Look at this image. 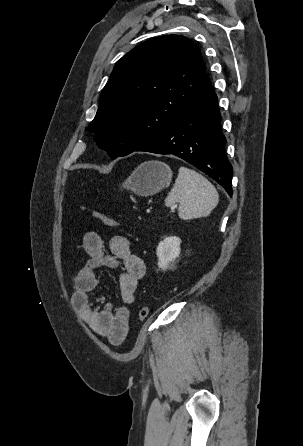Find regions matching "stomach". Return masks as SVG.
<instances>
[{"label": "stomach", "mask_w": 303, "mask_h": 446, "mask_svg": "<svg viewBox=\"0 0 303 446\" xmlns=\"http://www.w3.org/2000/svg\"><path fill=\"white\" fill-rule=\"evenodd\" d=\"M171 180L172 171L166 163L147 161L132 172L122 187L139 196H151L169 186Z\"/></svg>", "instance_id": "stomach-1"}]
</instances>
